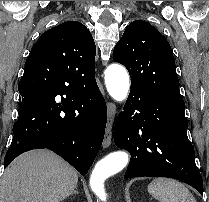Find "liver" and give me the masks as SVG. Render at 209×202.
Returning <instances> with one entry per match:
<instances>
[{"label":"liver","instance_id":"1","mask_svg":"<svg viewBox=\"0 0 209 202\" xmlns=\"http://www.w3.org/2000/svg\"><path fill=\"white\" fill-rule=\"evenodd\" d=\"M78 174L47 150L16 158L0 180V202H60L77 186Z\"/></svg>","mask_w":209,"mask_h":202}]
</instances>
